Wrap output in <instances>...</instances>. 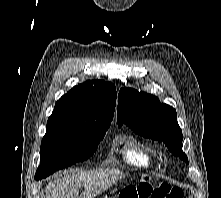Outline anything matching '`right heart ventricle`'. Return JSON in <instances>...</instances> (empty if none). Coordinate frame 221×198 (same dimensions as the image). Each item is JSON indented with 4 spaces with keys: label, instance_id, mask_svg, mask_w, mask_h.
Segmentation results:
<instances>
[{
    "label": "right heart ventricle",
    "instance_id": "1",
    "mask_svg": "<svg viewBox=\"0 0 221 198\" xmlns=\"http://www.w3.org/2000/svg\"><path fill=\"white\" fill-rule=\"evenodd\" d=\"M120 152L126 164L137 168L152 167L158 161L156 150L133 136L124 139Z\"/></svg>",
    "mask_w": 221,
    "mask_h": 198
}]
</instances>
